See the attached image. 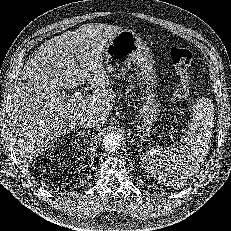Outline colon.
I'll return each instance as SVG.
<instances>
[{
  "label": "colon",
  "instance_id": "obj_1",
  "mask_svg": "<svg viewBox=\"0 0 231 231\" xmlns=\"http://www.w3.org/2000/svg\"><path fill=\"white\" fill-rule=\"evenodd\" d=\"M169 57L178 77L175 95L178 99H186L191 94L192 53L184 47H174L170 50Z\"/></svg>",
  "mask_w": 231,
  "mask_h": 231
}]
</instances>
